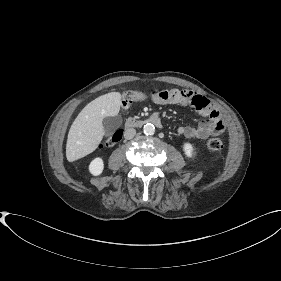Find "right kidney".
<instances>
[{"label": "right kidney", "instance_id": "right-kidney-1", "mask_svg": "<svg viewBox=\"0 0 281 281\" xmlns=\"http://www.w3.org/2000/svg\"><path fill=\"white\" fill-rule=\"evenodd\" d=\"M104 162L103 159L97 157L90 162L89 171L92 175L98 176L103 172Z\"/></svg>", "mask_w": 281, "mask_h": 281}]
</instances>
